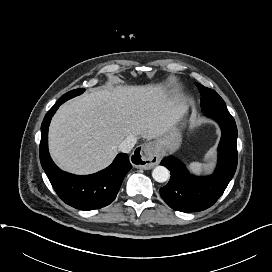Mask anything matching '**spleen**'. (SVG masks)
<instances>
[{
  "instance_id": "3e777b00",
  "label": "spleen",
  "mask_w": 272,
  "mask_h": 272,
  "mask_svg": "<svg viewBox=\"0 0 272 272\" xmlns=\"http://www.w3.org/2000/svg\"><path fill=\"white\" fill-rule=\"evenodd\" d=\"M208 167L209 165L200 162H191L189 165V168L195 173H200L208 169Z\"/></svg>"
}]
</instances>
